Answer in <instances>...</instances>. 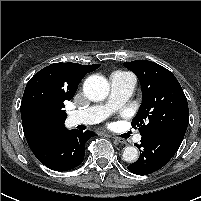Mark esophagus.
<instances>
[{"label":"esophagus","mask_w":201,"mask_h":201,"mask_svg":"<svg viewBox=\"0 0 201 201\" xmlns=\"http://www.w3.org/2000/svg\"><path fill=\"white\" fill-rule=\"evenodd\" d=\"M116 142L121 143V144H126V140L123 138H119V137H112Z\"/></svg>","instance_id":"obj_1"}]
</instances>
